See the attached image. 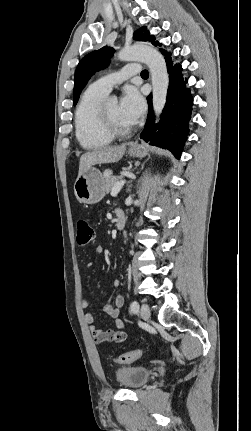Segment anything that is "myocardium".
<instances>
[{
    "label": "myocardium",
    "instance_id": "myocardium-1",
    "mask_svg": "<svg viewBox=\"0 0 251 431\" xmlns=\"http://www.w3.org/2000/svg\"><path fill=\"white\" fill-rule=\"evenodd\" d=\"M100 124L103 130L110 136L123 137L131 133L132 126L120 127L110 117L106 110V104H102L99 112Z\"/></svg>",
    "mask_w": 251,
    "mask_h": 431
}]
</instances>
